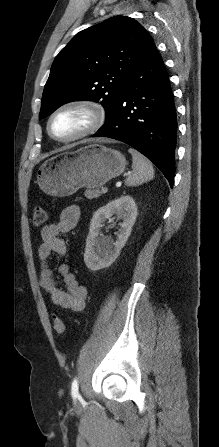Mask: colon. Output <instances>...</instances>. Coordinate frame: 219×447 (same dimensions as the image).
<instances>
[{
  "instance_id": "1",
  "label": "colon",
  "mask_w": 219,
  "mask_h": 447,
  "mask_svg": "<svg viewBox=\"0 0 219 447\" xmlns=\"http://www.w3.org/2000/svg\"><path fill=\"white\" fill-rule=\"evenodd\" d=\"M47 222V213L44 208L37 206L34 209L33 223L35 226H43ZM53 328L56 333L62 334L65 331V324L63 320L57 316H53Z\"/></svg>"
}]
</instances>
